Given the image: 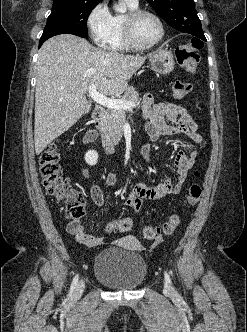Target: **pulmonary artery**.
<instances>
[{
  "label": "pulmonary artery",
  "instance_id": "e3ab8cb5",
  "mask_svg": "<svg viewBox=\"0 0 247 332\" xmlns=\"http://www.w3.org/2000/svg\"><path fill=\"white\" fill-rule=\"evenodd\" d=\"M127 1H129L132 4H138V0H127Z\"/></svg>",
  "mask_w": 247,
  "mask_h": 332
}]
</instances>
